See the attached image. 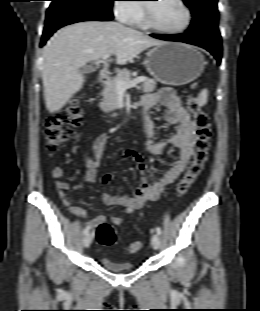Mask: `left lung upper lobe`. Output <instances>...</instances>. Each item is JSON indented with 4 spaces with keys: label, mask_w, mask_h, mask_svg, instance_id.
<instances>
[{
    "label": "left lung upper lobe",
    "mask_w": 260,
    "mask_h": 311,
    "mask_svg": "<svg viewBox=\"0 0 260 311\" xmlns=\"http://www.w3.org/2000/svg\"><path fill=\"white\" fill-rule=\"evenodd\" d=\"M183 1L191 9L193 16L188 32L220 37L218 30V0Z\"/></svg>",
    "instance_id": "5c2ea615"
}]
</instances>
